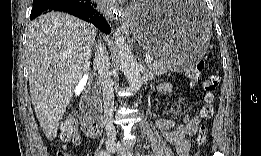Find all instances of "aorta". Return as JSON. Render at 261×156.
Returning <instances> with one entry per match:
<instances>
[{"label":"aorta","mask_w":261,"mask_h":156,"mask_svg":"<svg viewBox=\"0 0 261 156\" xmlns=\"http://www.w3.org/2000/svg\"><path fill=\"white\" fill-rule=\"evenodd\" d=\"M115 49L121 71L132 90H139L142 86L140 68L135 60L123 34H116Z\"/></svg>","instance_id":"762f6f07"}]
</instances>
